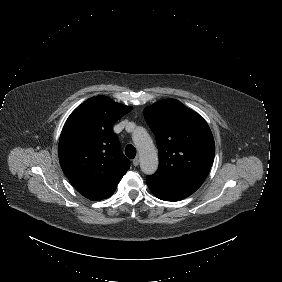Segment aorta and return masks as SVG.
I'll return each instance as SVG.
<instances>
[{
  "instance_id": "obj_1",
  "label": "aorta",
  "mask_w": 282,
  "mask_h": 282,
  "mask_svg": "<svg viewBox=\"0 0 282 282\" xmlns=\"http://www.w3.org/2000/svg\"><path fill=\"white\" fill-rule=\"evenodd\" d=\"M132 122L129 123V125ZM131 139L137 150L140 152V170L147 176L154 175L158 170L157 150L152 144L147 130L138 125H134L131 130Z\"/></svg>"
}]
</instances>
